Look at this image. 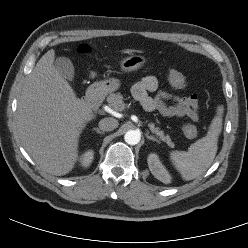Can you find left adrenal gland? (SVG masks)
<instances>
[{"mask_svg":"<svg viewBox=\"0 0 248 248\" xmlns=\"http://www.w3.org/2000/svg\"><path fill=\"white\" fill-rule=\"evenodd\" d=\"M146 138L152 141H156L157 143H159V140L156 139L154 136H150L149 134H146Z\"/></svg>","mask_w":248,"mask_h":248,"instance_id":"left-adrenal-gland-1","label":"left adrenal gland"}]
</instances>
